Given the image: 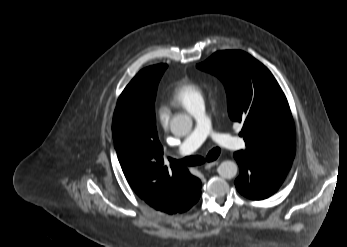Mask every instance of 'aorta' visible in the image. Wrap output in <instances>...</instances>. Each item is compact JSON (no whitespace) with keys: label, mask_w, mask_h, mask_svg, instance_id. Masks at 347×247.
<instances>
[{"label":"aorta","mask_w":347,"mask_h":247,"mask_svg":"<svg viewBox=\"0 0 347 247\" xmlns=\"http://www.w3.org/2000/svg\"><path fill=\"white\" fill-rule=\"evenodd\" d=\"M192 118L187 114H178L170 122V130L176 136H185L192 129ZM238 166L235 162L226 160L218 167V173L222 178L232 179L236 176Z\"/></svg>","instance_id":"aorta-1"}]
</instances>
